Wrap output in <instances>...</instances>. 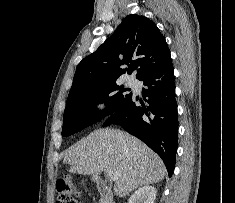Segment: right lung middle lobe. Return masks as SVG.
Returning a JSON list of instances; mask_svg holds the SVG:
<instances>
[{"instance_id": "1", "label": "right lung middle lobe", "mask_w": 235, "mask_h": 203, "mask_svg": "<svg viewBox=\"0 0 235 203\" xmlns=\"http://www.w3.org/2000/svg\"><path fill=\"white\" fill-rule=\"evenodd\" d=\"M126 90L114 80L69 93L63 116L62 136L74 134L114 113L132 95L124 94ZM99 103L107 104L104 111H96Z\"/></svg>"}]
</instances>
